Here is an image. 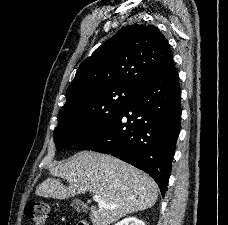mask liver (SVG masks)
<instances>
[{"mask_svg":"<svg viewBox=\"0 0 228 225\" xmlns=\"http://www.w3.org/2000/svg\"><path fill=\"white\" fill-rule=\"evenodd\" d=\"M49 175L66 179L69 187L58 179H46L35 195L51 199H70L87 191L98 195L101 201L90 209L93 225H112L131 213L151 209L158 197L157 185L149 175L115 157L93 151H80L67 163L53 165ZM108 205L116 207L110 209Z\"/></svg>","mask_w":228,"mask_h":225,"instance_id":"liver-1","label":"liver"}]
</instances>
